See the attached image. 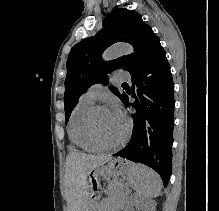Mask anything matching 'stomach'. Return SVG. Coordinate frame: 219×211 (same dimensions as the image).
Returning <instances> with one entry per match:
<instances>
[{
	"mask_svg": "<svg viewBox=\"0 0 219 211\" xmlns=\"http://www.w3.org/2000/svg\"><path fill=\"white\" fill-rule=\"evenodd\" d=\"M135 165L121 158L111 159L107 163L87 170V185L89 190V204L86 211H94L95 204L99 198V187L101 178L109 180L112 177H119L133 171Z\"/></svg>",
	"mask_w": 219,
	"mask_h": 211,
	"instance_id": "0dacf381",
	"label": "stomach"
}]
</instances>
